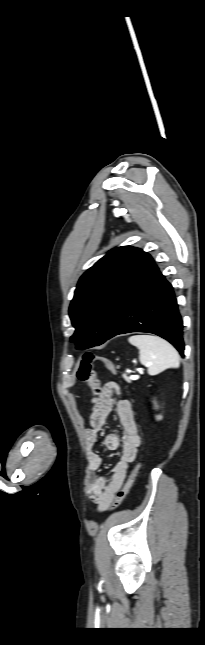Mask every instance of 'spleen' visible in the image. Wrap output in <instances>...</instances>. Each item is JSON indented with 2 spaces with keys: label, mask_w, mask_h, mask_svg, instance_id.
Returning <instances> with one entry per match:
<instances>
[{
  "label": "spleen",
  "mask_w": 205,
  "mask_h": 645,
  "mask_svg": "<svg viewBox=\"0 0 205 645\" xmlns=\"http://www.w3.org/2000/svg\"><path fill=\"white\" fill-rule=\"evenodd\" d=\"M129 343L139 349L141 364L148 366V374L157 375L168 368H178L180 358L175 348L166 340L153 335H134Z\"/></svg>",
  "instance_id": "3e777b00"
}]
</instances>
